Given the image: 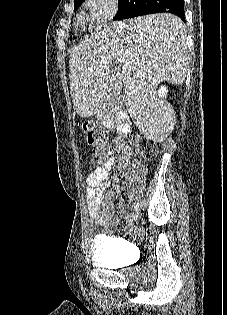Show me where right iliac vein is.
<instances>
[{
	"instance_id": "obj_1",
	"label": "right iliac vein",
	"mask_w": 227,
	"mask_h": 315,
	"mask_svg": "<svg viewBox=\"0 0 227 315\" xmlns=\"http://www.w3.org/2000/svg\"><path fill=\"white\" fill-rule=\"evenodd\" d=\"M139 218V211L137 210L135 213H133L130 217V222H134Z\"/></svg>"
}]
</instances>
